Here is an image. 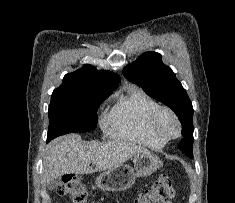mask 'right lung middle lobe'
<instances>
[{
    "label": "right lung middle lobe",
    "mask_w": 235,
    "mask_h": 203,
    "mask_svg": "<svg viewBox=\"0 0 235 203\" xmlns=\"http://www.w3.org/2000/svg\"><path fill=\"white\" fill-rule=\"evenodd\" d=\"M110 94L92 90H54L48 109L47 142L67 133L94 130L97 109Z\"/></svg>",
    "instance_id": "right-lung-middle-lobe-1"
}]
</instances>
